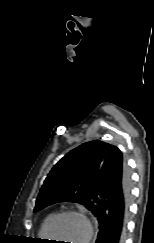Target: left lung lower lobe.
<instances>
[{"label":"left lung lower lobe","instance_id":"1","mask_svg":"<svg viewBox=\"0 0 154 243\" xmlns=\"http://www.w3.org/2000/svg\"><path fill=\"white\" fill-rule=\"evenodd\" d=\"M99 232L95 243H124L131 196L130 174L122 153L112 148L93 187Z\"/></svg>","mask_w":154,"mask_h":243}]
</instances>
